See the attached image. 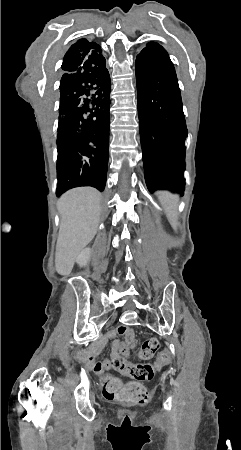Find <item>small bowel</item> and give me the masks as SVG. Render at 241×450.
Here are the masks:
<instances>
[{
    "label": "small bowel",
    "instance_id": "c3829d8e",
    "mask_svg": "<svg viewBox=\"0 0 241 450\" xmlns=\"http://www.w3.org/2000/svg\"><path fill=\"white\" fill-rule=\"evenodd\" d=\"M116 334L124 336L123 340L114 339L112 343L111 359L114 355H120L123 358H128L130 356L131 349L135 343V334L131 327L126 325H120L116 331L109 332V337H115ZM105 344V340H100L91 351H89L85 357L86 363L92 367L94 372L101 374L105 371L110 370L111 360H105L103 362H95V358L98 357V348Z\"/></svg>",
    "mask_w": 241,
    "mask_h": 450
}]
</instances>
